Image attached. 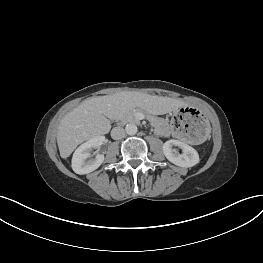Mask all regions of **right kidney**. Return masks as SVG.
Segmentation results:
<instances>
[{
	"label": "right kidney",
	"mask_w": 263,
	"mask_h": 263,
	"mask_svg": "<svg viewBox=\"0 0 263 263\" xmlns=\"http://www.w3.org/2000/svg\"><path fill=\"white\" fill-rule=\"evenodd\" d=\"M103 136L94 137L82 145L74 152L72 157V169L77 174H88L96 170L104 161L103 154H97L95 158H91L92 148L100 147L104 142Z\"/></svg>",
	"instance_id": "1"
}]
</instances>
